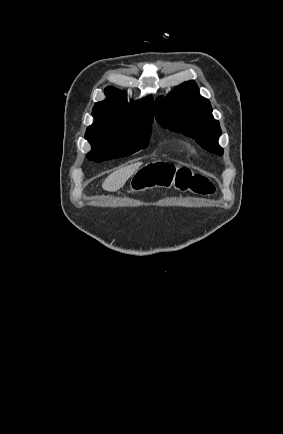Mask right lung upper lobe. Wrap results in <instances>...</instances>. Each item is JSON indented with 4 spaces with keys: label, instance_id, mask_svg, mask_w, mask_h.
<instances>
[{
    "label": "right lung upper lobe",
    "instance_id": "right-lung-upper-lobe-1",
    "mask_svg": "<svg viewBox=\"0 0 283 434\" xmlns=\"http://www.w3.org/2000/svg\"><path fill=\"white\" fill-rule=\"evenodd\" d=\"M107 99L95 103L92 116L94 123L87 129H111L132 127L153 122V98L127 102L126 93L113 87L105 89Z\"/></svg>",
    "mask_w": 283,
    "mask_h": 434
}]
</instances>
